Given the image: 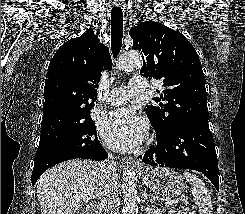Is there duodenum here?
I'll list each match as a JSON object with an SVG mask.
<instances>
[{"label": "duodenum", "instance_id": "410a0bca", "mask_svg": "<svg viewBox=\"0 0 245 214\" xmlns=\"http://www.w3.org/2000/svg\"><path fill=\"white\" fill-rule=\"evenodd\" d=\"M86 214H101V211L98 205H91Z\"/></svg>", "mask_w": 245, "mask_h": 214}]
</instances>
